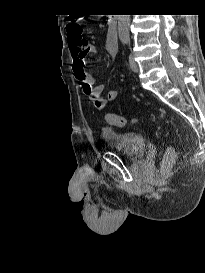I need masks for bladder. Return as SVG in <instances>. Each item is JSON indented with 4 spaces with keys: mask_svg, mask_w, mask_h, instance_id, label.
<instances>
[{
    "mask_svg": "<svg viewBox=\"0 0 205 273\" xmlns=\"http://www.w3.org/2000/svg\"><path fill=\"white\" fill-rule=\"evenodd\" d=\"M101 138L108 148L130 158H142L147 151V140L139 133H121L111 128L103 127L101 129Z\"/></svg>",
    "mask_w": 205,
    "mask_h": 273,
    "instance_id": "obj_1",
    "label": "bladder"
}]
</instances>
